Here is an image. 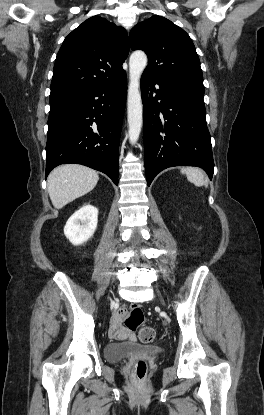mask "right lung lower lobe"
I'll list each match as a JSON object with an SVG mask.
<instances>
[{
  "label": "right lung lower lobe",
  "mask_w": 264,
  "mask_h": 415,
  "mask_svg": "<svg viewBox=\"0 0 264 415\" xmlns=\"http://www.w3.org/2000/svg\"><path fill=\"white\" fill-rule=\"evenodd\" d=\"M127 93L126 72L114 81L50 99L46 174L82 164L118 184V152Z\"/></svg>",
  "instance_id": "right-lung-lower-lobe-1"
}]
</instances>
